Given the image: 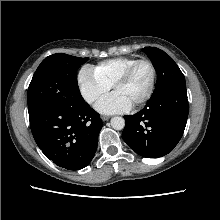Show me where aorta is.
<instances>
[{
    "mask_svg": "<svg viewBox=\"0 0 220 220\" xmlns=\"http://www.w3.org/2000/svg\"><path fill=\"white\" fill-rule=\"evenodd\" d=\"M111 126L115 130H122L125 126V120L122 117L116 116L111 119Z\"/></svg>",
    "mask_w": 220,
    "mask_h": 220,
    "instance_id": "1",
    "label": "aorta"
}]
</instances>
